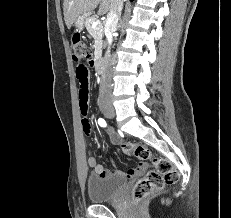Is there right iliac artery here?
Listing matches in <instances>:
<instances>
[{
    "instance_id": "1",
    "label": "right iliac artery",
    "mask_w": 231,
    "mask_h": 218,
    "mask_svg": "<svg viewBox=\"0 0 231 218\" xmlns=\"http://www.w3.org/2000/svg\"><path fill=\"white\" fill-rule=\"evenodd\" d=\"M98 124H99L101 127H106V125H107L106 122H105V120L102 119V118H99Z\"/></svg>"
}]
</instances>
